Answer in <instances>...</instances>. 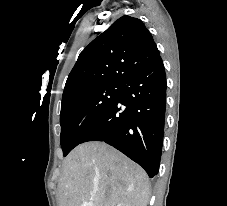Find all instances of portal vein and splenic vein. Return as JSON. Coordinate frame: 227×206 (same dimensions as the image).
Segmentation results:
<instances>
[{"mask_svg":"<svg viewBox=\"0 0 227 206\" xmlns=\"http://www.w3.org/2000/svg\"><path fill=\"white\" fill-rule=\"evenodd\" d=\"M81 206H94L93 202H87V203H83Z\"/></svg>","mask_w":227,"mask_h":206,"instance_id":"portal-vein-and-splenic-vein-1","label":"portal vein and splenic vein"}]
</instances>
